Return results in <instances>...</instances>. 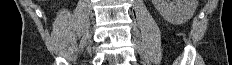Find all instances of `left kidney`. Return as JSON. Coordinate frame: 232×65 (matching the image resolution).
I'll list each match as a JSON object with an SVG mask.
<instances>
[{
    "label": "left kidney",
    "instance_id": "1",
    "mask_svg": "<svg viewBox=\"0 0 232 65\" xmlns=\"http://www.w3.org/2000/svg\"><path fill=\"white\" fill-rule=\"evenodd\" d=\"M157 11L165 20L180 25L190 20L197 8V0H152Z\"/></svg>",
    "mask_w": 232,
    "mask_h": 65
}]
</instances>
